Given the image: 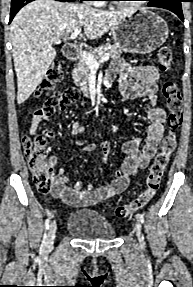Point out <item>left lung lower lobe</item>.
Here are the masks:
<instances>
[{"label": "left lung lower lobe", "mask_w": 193, "mask_h": 287, "mask_svg": "<svg viewBox=\"0 0 193 287\" xmlns=\"http://www.w3.org/2000/svg\"><path fill=\"white\" fill-rule=\"evenodd\" d=\"M185 0H162L154 4H148L150 7H160L174 12L182 21H184L181 2Z\"/></svg>", "instance_id": "1"}]
</instances>
